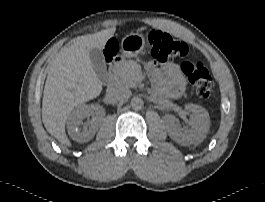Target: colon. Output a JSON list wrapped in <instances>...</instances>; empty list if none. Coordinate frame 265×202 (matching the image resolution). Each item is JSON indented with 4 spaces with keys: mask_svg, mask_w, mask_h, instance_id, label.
Instances as JSON below:
<instances>
[{
    "mask_svg": "<svg viewBox=\"0 0 265 202\" xmlns=\"http://www.w3.org/2000/svg\"><path fill=\"white\" fill-rule=\"evenodd\" d=\"M147 40L152 58L158 62L163 63L172 58L186 57L189 52L188 45L170 35L167 32L153 30L148 33ZM118 52V45L115 42H110L106 47V56L110 60ZM180 69L189 79L196 94L204 99L210 97L213 88L211 76L200 62L183 61Z\"/></svg>",
    "mask_w": 265,
    "mask_h": 202,
    "instance_id": "1",
    "label": "colon"
}]
</instances>
